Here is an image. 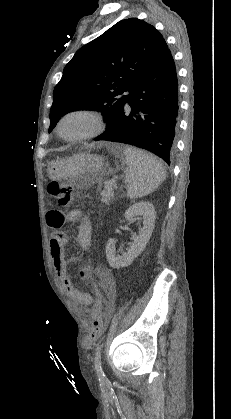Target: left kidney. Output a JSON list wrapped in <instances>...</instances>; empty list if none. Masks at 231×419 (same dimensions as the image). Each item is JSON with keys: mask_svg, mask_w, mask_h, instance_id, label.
Wrapping results in <instances>:
<instances>
[{"mask_svg": "<svg viewBox=\"0 0 231 419\" xmlns=\"http://www.w3.org/2000/svg\"><path fill=\"white\" fill-rule=\"evenodd\" d=\"M124 216L129 222H133L136 217H142L143 227L139 230L138 235H133V243L130 245V248L127 249V252L122 254V256L115 255V239L111 238L108 240L106 246V257L109 265L115 269L130 265L133 260L141 254L152 235L156 212L152 203L139 202L129 207L125 211Z\"/></svg>", "mask_w": 231, "mask_h": 419, "instance_id": "left-kidney-1", "label": "left kidney"}]
</instances>
